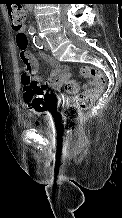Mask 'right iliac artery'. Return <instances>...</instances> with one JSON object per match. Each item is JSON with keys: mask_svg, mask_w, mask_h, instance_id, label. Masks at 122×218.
Instances as JSON below:
<instances>
[{"mask_svg": "<svg viewBox=\"0 0 122 218\" xmlns=\"http://www.w3.org/2000/svg\"><path fill=\"white\" fill-rule=\"evenodd\" d=\"M29 33L31 35H34L36 33V30L34 28L29 29Z\"/></svg>", "mask_w": 122, "mask_h": 218, "instance_id": "1", "label": "right iliac artery"}]
</instances>
